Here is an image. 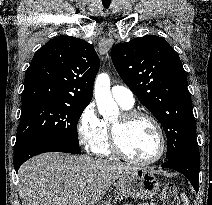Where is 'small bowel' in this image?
<instances>
[{"mask_svg": "<svg viewBox=\"0 0 212 205\" xmlns=\"http://www.w3.org/2000/svg\"><path fill=\"white\" fill-rule=\"evenodd\" d=\"M126 205H130V204H126ZM139 205H156L154 203H142V204H139Z\"/></svg>", "mask_w": 212, "mask_h": 205, "instance_id": "c3829d8e", "label": "small bowel"}]
</instances>
